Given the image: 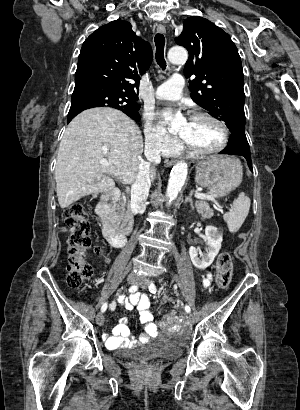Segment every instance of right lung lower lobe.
<instances>
[{
    "instance_id": "obj_1",
    "label": "right lung lower lobe",
    "mask_w": 300,
    "mask_h": 410,
    "mask_svg": "<svg viewBox=\"0 0 300 410\" xmlns=\"http://www.w3.org/2000/svg\"><path fill=\"white\" fill-rule=\"evenodd\" d=\"M75 116H76V115L71 116V117H68V123H69Z\"/></svg>"
}]
</instances>
